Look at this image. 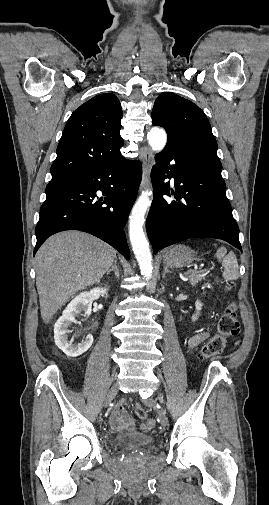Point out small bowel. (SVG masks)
I'll return each instance as SVG.
<instances>
[{
  "mask_svg": "<svg viewBox=\"0 0 269 505\" xmlns=\"http://www.w3.org/2000/svg\"><path fill=\"white\" fill-rule=\"evenodd\" d=\"M209 337L208 332L199 331L193 336H191L188 340V348L194 349L199 344L204 342ZM125 400H121L116 407L113 409L110 418V424L113 430L115 431H126L129 434H134L136 431V425L134 420L128 416L125 410ZM155 425V421L153 419L146 420L141 428L143 430L151 429Z\"/></svg>",
  "mask_w": 269,
  "mask_h": 505,
  "instance_id": "small-bowel-1",
  "label": "small bowel"
}]
</instances>
